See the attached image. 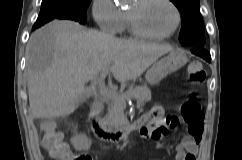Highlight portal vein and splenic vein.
<instances>
[{"mask_svg": "<svg viewBox=\"0 0 242 160\" xmlns=\"http://www.w3.org/2000/svg\"><path fill=\"white\" fill-rule=\"evenodd\" d=\"M114 67L107 66L105 67L100 74V78L98 80V88L99 92L103 95H106L112 99H116L118 97L117 92L109 87L105 86L104 79L108 75L109 70H112ZM139 106V104H137Z\"/></svg>", "mask_w": 242, "mask_h": 160, "instance_id": "1", "label": "portal vein and splenic vein"}]
</instances>
